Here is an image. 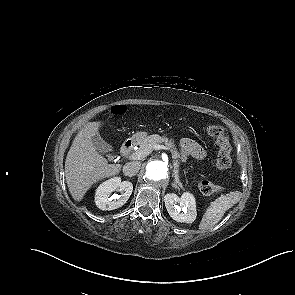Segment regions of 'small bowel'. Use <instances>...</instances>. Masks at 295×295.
<instances>
[{
	"label": "small bowel",
	"instance_id": "1",
	"mask_svg": "<svg viewBox=\"0 0 295 295\" xmlns=\"http://www.w3.org/2000/svg\"><path fill=\"white\" fill-rule=\"evenodd\" d=\"M180 152L182 159L192 157L201 160L205 157L204 149L194 140L190 138H183L180 142Z\"/></svg>",
	"mask_w": 295,
	"mask_h": 295
}]
</instances>
